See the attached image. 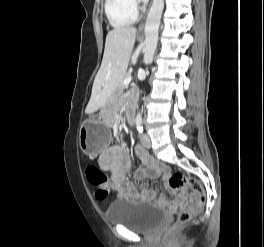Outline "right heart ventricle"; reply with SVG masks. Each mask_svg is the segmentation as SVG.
<instances>
[{"label":"right heart ventricle","instance_id":"right-heart-ventricle-1","mask_svg":"<svg viewBox=\"0 0 264 247\" xmlns=\"http://www.w3.org/2000/svg\"><path fill=\"white\" fill-rule=\"evenodd\" d=\"M105 12L112 26L122 28L136 22L138 14L128 0H105Z\"/></svg>","mask_w":264,"mask_h":247}]
</instances>
